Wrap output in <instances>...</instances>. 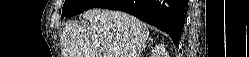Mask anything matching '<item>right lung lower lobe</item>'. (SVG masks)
<instances>
[{"label":"right lung lower lobe","mask_w":249,"mask_h":57,"mask_svg":"<svg viewBox=\"0 0 249 57\" xmlns=\"http://www.w3.org/2000/svg\"><path fill=\"white\" fill-rule=\"evenodd\" d=\"M188 0H108L98 8L121 10L168 33L177 46Z\"/></svg>","instance_id":"1"}]
</instances>
